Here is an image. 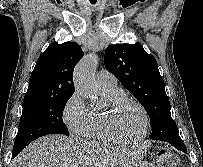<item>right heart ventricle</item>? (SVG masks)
Returning a JSON list of instances; mask_svg holds the SVG:
<instances>
[{"label": "right heart ventricle", "instance_id": "1", "mask_svg": "<svg viewBox=\"0 0 203 167\" xmlns=\"http://www.w3.org/2000/svg\"><path fill=\"white\" fill-rule=\"evenodd\" d=\"M101 91L107 101H109L114 94L122 93L117 86L111 88H101ZM81 135L88 140L110 141L102 128L101 112L89 110V118Z\"/></svg>", "mask_w": 203, "mask_h": 167}]
</instances>
